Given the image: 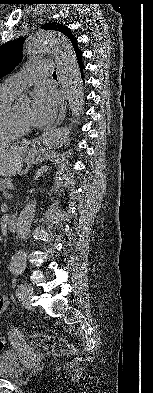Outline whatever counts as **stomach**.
<instances>
[{
	"mask_svg": "<svg viewBox=\"0 0 153 393\" xmlns=\"http://www.w3.org/2000/svg\"><path fill=\"white\" fill-rule=\"evenodd\" d=\"M25 161L29 165L44 162L50 157V153L36 145L24 147Z\"/></svg>",
	"mask_w": 153,
	"mask_h": 393,
	"instance_id": "1",
	"label": "stomach"
}]
</instances>
